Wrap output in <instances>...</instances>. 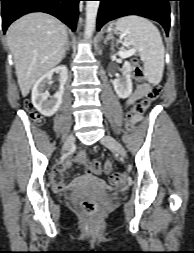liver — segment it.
<instances>
[{"mask_svg":"<svg viewBox=\"0 0 194 253\" xmlns=\"http://www.w3.org/2000/svg\"><path fill=\"white\" fill-rule=\"evenodd\" d=\"M6 38L25 97L34 83L63 59L67 28L49 14L30 13L10 25Z\"/></svg>","mask_w":194,"mask_h":253,"instance_id":"1","label":"liver"}]
</instances>
